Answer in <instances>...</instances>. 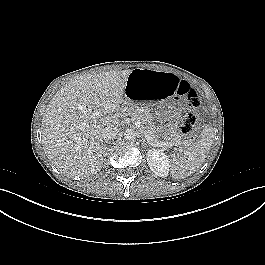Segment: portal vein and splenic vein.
<instances>
[{
	"mask_svg": "<svg viewBox=\"0 0 265 265\" xmlns=\"http://www.w3.org/2000/svg\"><path fill=\"white\" fill-rule=\"evenodd\" d=\"M95 104H99V102H98V100L96 99L95 100ZM101 115V111L99 110V109H96V111H94L93 112V114H92V118L93 119H96L97 117H99ZM136 126H140V122H137L136 123ZM146 138L147 139H150V137L148 136V135H146ZM158 145H160V146H165V147H169V148H171L173 145L172 144H168V143H159Z\"/></svg>",
	"mask_w": 265,
	"mask_h": 265,
	"instance_id": "1",
	"label": "portal vein and splenic vein"
}]
</instances>
